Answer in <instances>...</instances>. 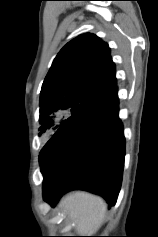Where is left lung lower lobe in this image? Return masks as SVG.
Listing matches in <instances>:
<instances>
[{"label": "left lung lower lobe", "instance_id": "1", "mask_svg": "<svg viewBox=\"0 0 158 237\" xmlns=\"http://www.w3.org/2000/svg\"><path fill=\"white\" fill-rule=\"evenodd\" d=\"M124 155L125 140L114 86L66 119L41 150L44 199L55 206L65 192L82 189L115 205Z\"/></svg>", "mask_w": 158, "mask_h": 237}]
</instances>
